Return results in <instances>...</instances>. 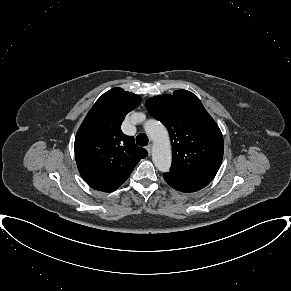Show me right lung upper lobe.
Listing matches in <instances>:
<instances>
[{"label": "right lung upper lobe", "mask_w": 291, "mask_h": 291, "mask_svg": "<svg viewBox=\"0 0 291 291\" xmlns=\"http://www.w3.org/2000/svg\"><path fill=\"white\" fill-rule=\"evenodd\" d=\"M140 102L138 95L113 88L96 101L82 122L75 138V157L80 175L93 189L115 191L148 155L120 129L126 114Z\"/></svg>", "instance_id": "1"}]
</instances>
